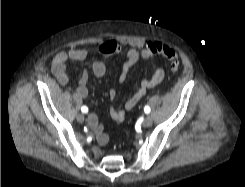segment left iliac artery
<instances>
[{
	"label": "left iliac artery",
	"instance_id": "left-iliac-artery-1",
	"mask_svg": "<svg viewBox=\"0 0 245 187\" xmlns=\"http://www.w3.org/2000/svg\"><path fill=\"white\" fill-rule=\"evenodd\" d=\"M144 111H145V113H150V107L149 106H145L144 107Z\"/></svg>",
	"mask_w": 245,
	"mask_h": 187
}]
</instances>
